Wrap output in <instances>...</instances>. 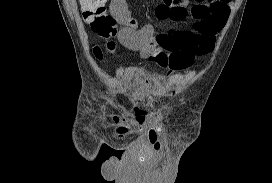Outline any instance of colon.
<instances>
[{"mask_svg":"<svg viewBox=\"0 0 272 183\" xmlns=\"http://www.w3.org/2000/svg\"><path fill=\"white\" fill-rule=\"evenodd\" d=\"M83 9L84 19L90 24L92 30L105 39L114 36L122 26V16L126 13V0H112L113 14L108 13L104 7L105 0H79ZM110 47V45H109ZM94 53L100 57V48ZM154 59L163 67H170L171 63L164 54H158Z\"/></svg>","mask_w":272,"mask_h":183,"instance_id":"1","label":"colon"}]
</instances>
